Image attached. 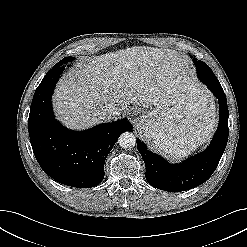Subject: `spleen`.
<instances>
[{
    "label": "spleen",
    "mask_w": 247,
    "mask_h": 247,
    "mask_svg": "<svg viewBox=\"0 0 247 247\" xmlns=\"http://www.w3.org/2000/svg\"><path fill=\"white\" fill-rule=\"evenodd\" d=\"M211 129H213V126L212 125L209 127V130H211Z\"/></svg>",
    "instance_id": "3e777b00"
}]
</instances>
